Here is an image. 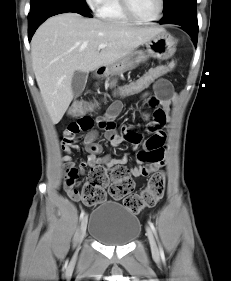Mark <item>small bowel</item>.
Wrapping results in <instances>:
<instances>
[{
    "label": "small bowel",
    "instance_id": "obj_1",
    "mask_svg": "<svg viewBox=\"0 0 231 281\" xmlns=\"http://www.w3.org/2000/svg\"><path fill=\"white\" fill-rule=\"evenodd\" d=\"M148 96H150L149 93L143 94V97ZM150 100L155 107L152 119L147 124V131L151 133V136L143 143V150L137 152L136 160L138 165L130 170L131 175L135 178L149 176L165 164L166 133L164 128H168L170 124V108L176 100L170 83L165 79H158L154 84V93ZM121 110V102L115 101L109 106L103 117L93 118L84 115L78 120L71 122L65 129L63 149L66 155L61 158L63 162L64 189L73 200H80L74 194V188L79 175L83 174L87 167L102 166L104 168H112L123 166L128 160L127 155L121 158H113L111 155L99 156L102 152V147L95 142L97 132L93 130L94 125L104 130L106 139L113 146H119L124 142H128L137 148L141 144L140 134L126 127L121 132L117 131L115 119ZM81 131L87 132L83 137V144L88 156L86 160L77 164L71 154L77 148L76 136Z\"/></svg>",
    "mask_w": 231,
    "mask_h": 281
}]
</instances>
